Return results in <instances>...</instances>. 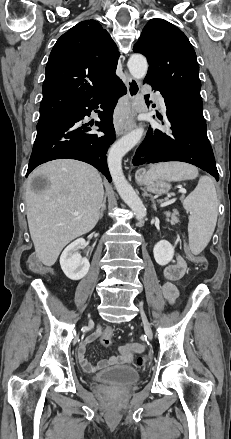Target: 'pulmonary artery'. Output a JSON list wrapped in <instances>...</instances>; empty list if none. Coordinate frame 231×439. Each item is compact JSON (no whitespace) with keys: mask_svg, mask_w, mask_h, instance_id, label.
I'll use <instances>...</instances> for the list:
<instances>
[{"mask_svg":"<svg viewBox=\"0 0 231 439\" xmlns=\"http://www.w3.org/2000/svg\"><path fill=\"white\" fill-rule=\"evenodd\" d=\"M157 100H158V104H159L160 108L162 109V111H165L166 105L164 102V98L160 94H157Z\"/></svg>","mask_w":231,"mask_h":439,"instance_id":"pulmonary-artery-1","label":"pulmonary artery"}]
</instances>
